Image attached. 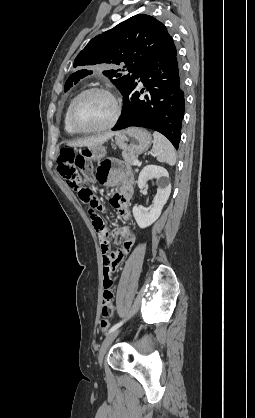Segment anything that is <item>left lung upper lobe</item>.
I'll list each match as a JSON object with an SVG mask.
<instances>
[{
    "instance_id": "obj_1",
    "label": "left lung upper lobe",
    "mask_w": 255,
    "mask_h": 418,
    "mask_svg": "<svg viewBox=\"0 0 255 418\" xmlns=\"http://www.w3.org/2000/svg\"><path fill=\"white\" fill-rule=\"evenodd\" d=\"M171 39L161 22L149 15L138 14L93 38L75 58L74 67L123 65V69L103 71L123 93L134 71ZM125 71L129 73L124 74ZM92 73L89 69L73 73L65 83V92Z\"/></svg>"
}]
</instances>
